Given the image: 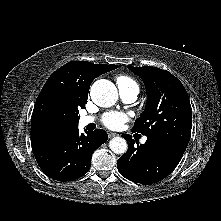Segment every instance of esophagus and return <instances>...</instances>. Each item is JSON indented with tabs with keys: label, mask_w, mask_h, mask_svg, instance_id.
I'll return each instance as SVG.
<instances>
[{
	"label": "esophagus",
	"mask_w": 221,
	"mask_h": 221,
	"mask_svg": "<svg viewBox=\"0 0 221 221\" xmlns=\"http://www.w3.org/2000/svg\"><path fill=\"white\" fill-rule=\"evenodd\" d=\"M118 135H119L118 133H114V132H109L108 133L109 138H113V137L118 136Z\"/></svg>",
	"instance_id": "34e87169"
}]
</instances>
